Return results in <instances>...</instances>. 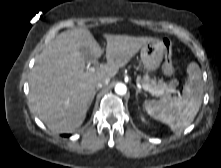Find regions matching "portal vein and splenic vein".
<instances>
[{
    "label": "portal vein and splenic vein",
    "mask_w": 221,
    "mask_h": 168,
    "mask_svg": "<svg viewBox=\"0 0 221 168\" xmlns=\"http://www.w3.org/2000/svg\"><path fill=\"white\" fill-rule=\"evenodd\" d=\"M89 71L93 72V71H95V69L92 67V68L89 69ZM142 88H143L145 91H148V92H150V93L153 94V95L159 93L158 90L152 89V88H150L148 85H142ZM172 92H173V93H177L178 95H180V92H179L178 90L173 89Z\"/></svg>",
    "instance_id": "obj_1"
}]
</instances>
